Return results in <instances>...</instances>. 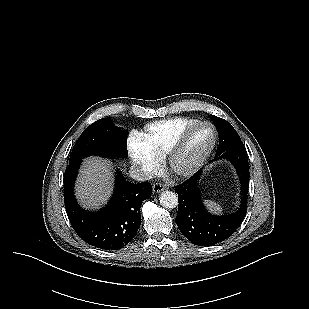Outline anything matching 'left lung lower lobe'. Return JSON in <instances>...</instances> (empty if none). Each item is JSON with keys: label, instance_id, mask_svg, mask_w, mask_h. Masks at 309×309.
<instances>
[{"label": "left lung lower lobe", "instance_id": "obj_1", "mask_svg": "<svg viewBox=\"0 0 309 309\" xmlns=\"http://www.w3.org/2000/svg\"><path fill=\"white\" fill-rule=\"evenodd\" d=\"M218 133L220 135L221 131ZM222 158L233 163L240 177L241 205L235 213L215 216L206 210L198 187L201 171L175 187L179 201L176 224L189 241L199 246L215 245L229 238L241 225L247 213L249 166L246 148L236 147L216 153L215 160Z\"/></svg>", "mask_w": 309, "mask_h": 309}]
</instances>
